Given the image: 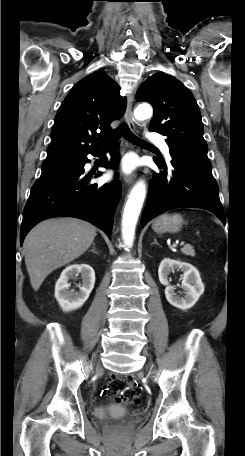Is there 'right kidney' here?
Segmentation results:
<instances>
[{"instance_id":"1","label":"right kidney","mask_w":245,"mask_h":456,"mask_svg":"<svg viewBox=\"0 0 245 456\" xmlns=\"http://www.w3.org/2000/svg\"><path fill=\"white\" fill-rule=\"evenodd\" d=\"M81 275L82 284L79 291L69 290V279ZM95 284V272L87 264H73L66 267L55 285V297L63 311L76 310L86 302Z\"/></svg>"}]
</instances>
